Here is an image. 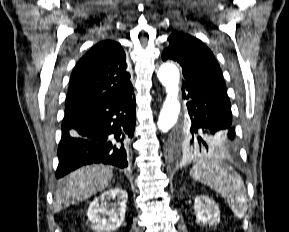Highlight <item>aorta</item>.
Here are the masks:
<instances>
[{
    "mask_svg": "<svg viewBox=\"0 0 289 232\" xmlns=\"http://www.w3.org/2000/svg\"><path fill=\"white\" fill-rule=\"evenodd\" d=\"M157 76L167 92L166 99L158 118L159 130L166 132L177 123L180 113V102L178 97L180 74L178 68L174 64L165 63L159 68Z\"/></svg>",
    "mask_w": 289,
    "mask_h": 232,
    "instance_id": "aorta-1",
    "label": "aorta"
}]
</instances>
